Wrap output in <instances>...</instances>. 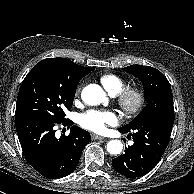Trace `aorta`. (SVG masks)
<instances>
[{"label": "aorta", "mask_w": 194, "mask_h": 194, "mask_svg": "<svg viewBox=\"0 0 194 194\" xmlns=\"http://www.w3.org/2000/svg\"><path fill=\"white\" fill-rule=\"evenodd\" d=\"M81 98L86 104L93 106L104 102L106 100V95L99 85L90 84L82 90ZM106 148L110 154L118 155L123 149V144L120 140H110Z\"/></svg>", "instance_id": "762f6f07"}]
</instances>
